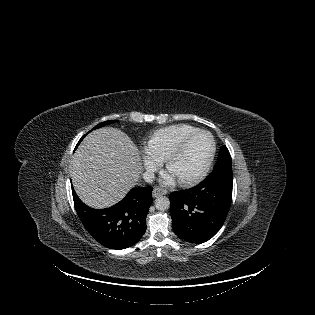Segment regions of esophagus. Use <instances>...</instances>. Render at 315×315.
Listing matches in <instances>:
<instances>
[{
  "label": "esophagus",
  "mask_w": 315,
  "mask_h": 315,
  "mask_svg": "<svg viewBox=\"0 0 315 315\" xmlns=\"http://www.w3.org/2000/svg\"><path fill=\"white\" fill-rule=\"evenodd\" d=\"M166 193H167V191H166L165 189L160 188V187H156V188H154L153 191H152V196H153L154 198H157V197H159V196L165 195Z\"/></svg>",
  "instance_id": "esophagus-1"
}]
</instances>
